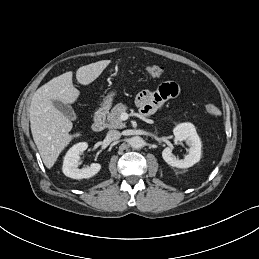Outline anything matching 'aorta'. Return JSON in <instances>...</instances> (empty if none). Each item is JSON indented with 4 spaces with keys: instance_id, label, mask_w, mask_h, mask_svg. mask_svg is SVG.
Returning a JSON list of instances; mask_svg holds the SVG:
<instances>
[{
    "instance_id": "obj_1",
    "label": "aorta",
    "mask_w": 259,
    "mask_h": 259,
    "mask_svg": "<svg viewBox=\"0 0 259 259\" xmlns=\"http://www.w3.org/2000/svg\"><path fill=\"white\" fill-rule=\"evenodd\" d=\"M129 144L133 149H140L144 146V140L140 136L130 138Z\"/></svg>"
}]
</instances>
